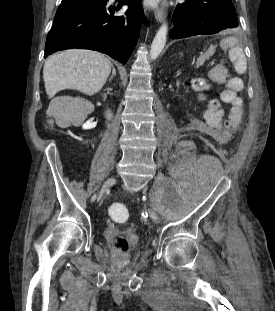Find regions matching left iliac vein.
Here are the masks:
<instances>
[{
  "label": "left iliac vein",
  "mask_w": 275,
  "mask_h": 311,
  "mask_svg": "<svg viewBox=\"0 0 275 311\" xmlns=\"http://www.w3.org/2000/svg\"><path fill=\"white\" fill-rule=\"evenodd\" d=\"M148 212H149L150 218H151L154 222H156V221L158 220V217H157L156 213H155L152 209H149Z\"/></svg>",
  "instance_id": "4c4485c4"
}]
</instances>
